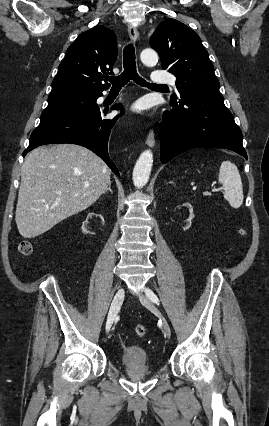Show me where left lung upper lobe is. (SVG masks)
<instances>
[{
	"label": "left lung upper lobe",
	"instance_id": "left-lung-upper-lobe-1",
	"mask_svg": "<svg viewBox=\"0 0 269 426\" xmlns=\"http://www.w3.org/2000/svg\"><path fill=\"white\" fill-rule=\"evenodd\" d=\"M150 46L158 52L161 64L177 78L180 96L204 88H219L214 67L200 37L185 24L166 19L156 28ZM177 99L175 95L171 100Z\"/></svg>",
	"mask_w": 269,
	"mask_h": 426
}]
</instances>
